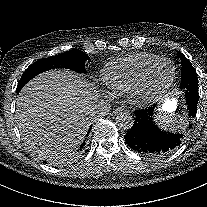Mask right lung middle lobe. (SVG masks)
Segmentation results:
<instances>
[{
	"instance_id": "right-lung-middle-lobe-1",
	"label": "right lung middle lobe",
	"mask_w": 207,
	"mask_h": 207,
	"mask_svg": "<svg viewBox=\"0 0 207 207\" xmlns=\"http://www.w3.org/2000/svg\"><path fill=\"white\" fill-rule=\"evenodd\" d=\"M89 59L84 52L73 49L56 56L44 58L31 64L23 73L16 92L19 93L23 86L36 75L54 68L71 69L78 73H86L85 62Z\"/></svg>"
}]
</instances>
